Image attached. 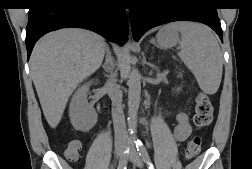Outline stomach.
<instances>
[{
  "label": "stomach",
  "mask_w": 252,
  "mask_h": 169,
  "mask_svg": "<svg viewBox=\"0 0 252 169\" xmlns=\"http://www.w3.org/2000/svg\"><path fill=\"white\" fill-rule=\"evenodd\" d=\"M157 43L162 48H171L180 42L178 30L172 25H167L160 29L156 35Z\"/></svg>",
  "instance_id": "obj_1"
}]
</instances>
